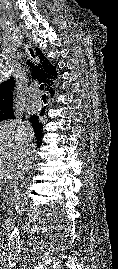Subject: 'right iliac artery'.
I'll list each match as a JSON object with an SVG mask.
<instances>
[{
	"label": "right iliac artery",
	"mask_w": 118,
	"mask_h": 269,
	"mask_svg": "<svg viewBox=\"0 0 118 269\" xmlns=\"http://www.w3.org/2000/svg\"><path fill=\"white\" fill-rule=\"evenodd\" d=\"M8 261H9V265L11 267H15L16 264H17V262H18V257L17 256H11L10 255Z\"/></svg>",
	"instance_id": "right-iliac-artery-1"
}]
</instances>
